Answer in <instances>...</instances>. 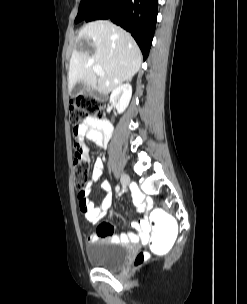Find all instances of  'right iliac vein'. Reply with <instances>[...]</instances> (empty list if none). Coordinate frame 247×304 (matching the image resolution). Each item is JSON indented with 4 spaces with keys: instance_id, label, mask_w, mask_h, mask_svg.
Returning a JSON list of instances; mask_svg holds the SVG:
<instances>
[{
    "instance_id": "1",
    "label": "right iliac vein",
    "mask_w": 247,
    "mask_h": 304,
    "mask_svg": "<svg viewBox=\"0 0 247 304\" xmlns=\"http://www.w3.org/2000/svg\"><path fill=\"white\" fill-rule=\"evenodd\" d=\"M120 180L124 188H126L130 184V178L127 174H122Z\"/></svg>"
}]
</instances>
